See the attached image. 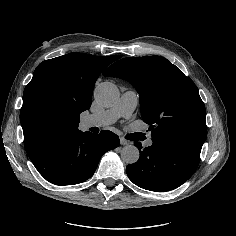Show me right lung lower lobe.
Masks as SVG:
<instances>
[{
    "mask_svg": "<svg viewBox=\"0 0 236 236\" xmlns=\"http://www.w3.org/2000/svg\"><path fill=\"white\" fill-rule=\"evenodd\" d=\"M119 143V137L111 131L98 135L79 131L57 143L35 167L53 184H78L90 178L102 155Z\"/></svg>",
    "mask_w": 236,
    "mask_h": 236,
    "instance_id": "1",
    "label": "right lung lower lobe"
}]
</instances>
